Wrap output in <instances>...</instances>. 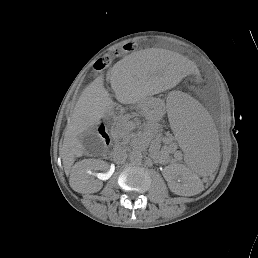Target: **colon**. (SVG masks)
<instances>
[{
	"label": "colon",
	"mask_w": 258,
	"mask_h": 258,
	"mask_svg": "<svg viewBox=\"0 0 258 258\" xmlns=\"http://www.w3.org/2000/svg\"><path fill=\"white\" fill-rule=\"evenodd\" d=\"M132 44L126 45L124 48L125 49H130L132 48ZM110 63V57L108 55L100 57L97 62L94 65L95 70H100L106 68Z\"/></svg>",
	"instance_id": "colon-1"
}]
</instances>
